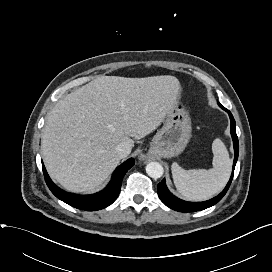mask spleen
Listing matches in <instances>:
<instances>
[{
  "mask_svg": "<svg viewBox=\"0 0 272 272\" xmlns=\"http://www.w3.org/2000/svg\"><path fill=\"white\" fill-rule=\"evenodd\" d=\"M213 168L209 170H184L177 163L172 164V176L177 190L189 200H207L219 193L226 185L232 168L228 151L216 138L212 143Z\"/></svg>",
  "mask_w": 272,
  "mask_h": 272,
  "instance_id": "spleen-1",
  "label": "spleen"
}]
</instances>
